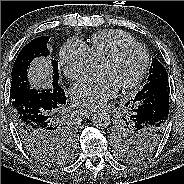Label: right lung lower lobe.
Wrapping results in <instances>:
<instances>
[{
	"mask_svg": "<svg viewBox=\"0 0 184 184\" xmlns=\"http://www.w3.org/2000/svg\"><path fill=\"white\" fill-rule=\"evenodd\" d=\"M19 137L27 147H38L53 138L52 121H64V90L58 86L48 95H21L11 100Z\"/></svg>",
	"mask_w": 184,
	"mask_h": 184,
	"instance_id": "98d812e1",
	"label": "right lung lower lobe"
}]
</instances>
